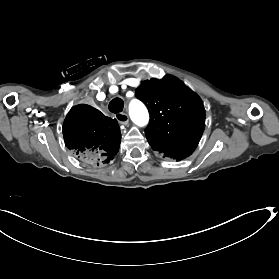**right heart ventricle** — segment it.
I'll return each mask as SVG.
<instances>
[{
  "instance_id": "obj_1",
  "label": "right heart ventricle",
  "mask_w": 279,
  "mask_h": 279,
  "mask_svg": "<svg viewBox=\"0 0 279 279\" xmlns=\"http://www.w3.org/2000/svg\"><path fill=\"white\" fill-rule=\"evenodd\" d=\"M106 58H107V56L105 54H96L94 57L91 58V60L101 61V60H104ZM135 98H136L135 92L128 91L123 96L122 102L125 105V107L128 108L133 103Z\"/></svg>"
}]
</instances>
